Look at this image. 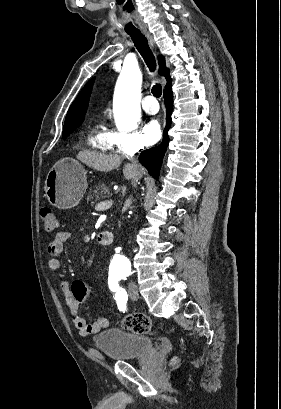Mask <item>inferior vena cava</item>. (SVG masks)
Wrapping results in <instances>:
<instances>
[{
  "mask_svg": "<svg viewBox=\"0 0 281 409\" xmlns=\"http://www.w3.org/2000/svg\"><path fill=\"white\" fill-rule=\"evenodd\" d=\"M130 160H132L133 164H134V168H135V174L132 178V182L131 184H133V186H136L139 178H141L142 176V166L141 164H139L138 160H136V158H130Z\"/></svg>",
  "mask_w": 281,
  "mask_h": 409,
  "instance_id": "602c4592",
  "label": "inferior vena cava"
}]
</instances>
